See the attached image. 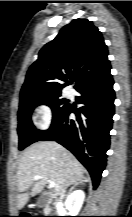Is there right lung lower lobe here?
<instances>
[{
  "label": "right lung lower lobe",
  "instance_id": "right-lung-lower-lobe-1",
  "mask_svg": "<svg viewBox=\"0 0 132 217\" xmlns=\"http://www.w3.org/2000/svg\"><path fill=\"white\" fill-rule=\"evenodd\" d=\"M112 77L106 81L77 90L79 104L71 105L60 115L48 132L40 139L56 141L70 150L89 171L94 189L97 188L106 165V151L110 145L115 93ZM76 120L70 119V113ZM39 140V141H40Z\"/></svg>",
  "mask_w": 132,
  "mask_h": 217
}]
</instances>
